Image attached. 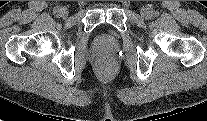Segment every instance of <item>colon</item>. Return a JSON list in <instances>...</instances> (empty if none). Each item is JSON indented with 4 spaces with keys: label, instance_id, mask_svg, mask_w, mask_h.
I'll return each mask as SVG.
<instances>
[{
    "label": "colon",
    "instance_id": "1",
    "mask_svg": "<svg viewBox=\"0 0 207 121\" xmlns=\"http://www.w3.org/2000/svg\"><path fill=\"white\" fill-rule=\"evenodd\" d=\"M97 68L101 73L108 74L114 70L115 62L112 57L103 55L97 61Z\"/></svg>",
    "mask_w": 207,
    "mask_h": 121
}]
</instances>
